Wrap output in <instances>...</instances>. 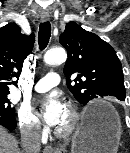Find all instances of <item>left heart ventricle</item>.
Masks as SVG:
<instances>
[{"instance_id":"left-heart-ventricle-1","label":"left heart ventricle","mask_w":130,"mask_h":153,"mask_svg":"<svg viewBox=\"0 0 130 153\" xmlns=\"http://www.w3.org/2000/svg\"><path fill=\"white\" fill-rule=\"evenodd\" d=\"M68 122V113L66 111V109L64 110L63 116L61 118V121L59 122V124L57 125V127H63L67 124Z\"/></svg>"}]
</instances>
